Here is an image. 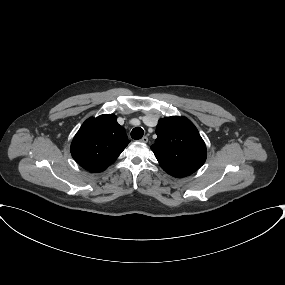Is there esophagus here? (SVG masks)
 I'll list each match as a JSON object with an SVG mask.
<instances>
[{
    "label": "esophagus",
    "mask_w": 285,
    "mask_h": 285,
    "mask_svg": "<svg viewBox=\"0 0 285 285\" xmlns=\"http://www.w3.org/2000/svg\"><path fill=\"white\" fill-rule=\"evenodd\" d=\"M140 141H141L142 143H147V142H148V137H147V136H144V137H142V138L140 139Z\"/></svg>",
    "instance_id": "esophagus-1"
}]
</instances>
